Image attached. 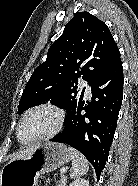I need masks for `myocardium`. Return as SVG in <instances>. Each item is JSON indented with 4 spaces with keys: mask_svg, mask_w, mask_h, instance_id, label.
Here are the masks:
<instances>
[{
    "mask_svg": "<svg viewBox=\"0 0 138 186\" xmlns=\"http://www.w3.org/2000/svg\"><path fill=\"white\" fill-rule=\"evenodd\" d=\"M41 109H48V110L53 111L58 117L57 125L55 126V128L53 130H51L50 132H48V133H46L42 136H39L37 138L31 139V140H28V141L23 140L20 136V129H21V126H22L24 120L32 112L37 111V110H41ZM65 118H66V115H65L64 110L61 109L60 107L52 104V103H43V104L35 105V106L29 108L28 110H26L24 112V114L22 115V117L20 118L17 129H16L17 139L22 144H33V143H36V142H40V141L50 139V138L54 137L56 134H58L63 129L64 124H65Z\"/></svg>",
    "mask_w": 138,
    "mask_h": 186,
    "instance_id": "myocardium-1",
    "label": "myocardium"
}]
</instances>
